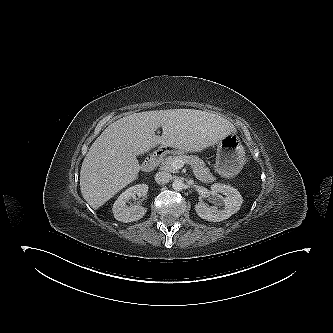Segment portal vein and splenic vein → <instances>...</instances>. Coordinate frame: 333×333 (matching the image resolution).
<instances>
[{
	"instance_id": "portal-vein-and-splenic-vein-1",
	"label": "portal vein and splenic vein",
	"mask_w": 333,
	"mask_h": 333,
	"mask_svg": "<svg viewBox=\"0 0 333 333\" xmlns=\"http://www.w3.org/2000/svg\"><path fill=\"white\" fill-rule=\"evenodd\" d=\"M184 164H185V162L182 161V160H175V161L172 162V167L174 169H180L184 166Z\"/></svg>"
}]
</instances>
